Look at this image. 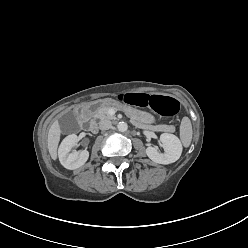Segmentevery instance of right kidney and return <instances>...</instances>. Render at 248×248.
<instances>
[{"instance_id": "obj_1", "label": "right kidney", "mask_w": 248, "mask_h": 248, "mask_svg": "<svg viewBox=\"0 0 248 248\" xmlns=\"http://www.w3.org/2000/svg\"><path fill=\"white\" fill-rule=\"evenodd\" d=\"M78 141V136L71 134L64 138L59 147V161L66 169H77L83 166L89 158V152L87 150L71 152L72 148L77 144Z\"/></svg>"}]
</instances>
